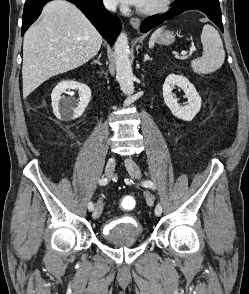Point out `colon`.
<instances>
[{"label": "colon", "instance_id": "obj_1", "mask_svg": "<svg viewBox=\"0 0 249 294\" xmlns=\"http://www.w3.org/2000/svg\"><path fill=\"white\" fill-rule=\"evenodd\" d=\"M121 207L123 210H132L135 205H136V201L133 197H123L120 201Z\"/></svg>", "mask_w": 249, "mask_h": 294}]
</instances>
